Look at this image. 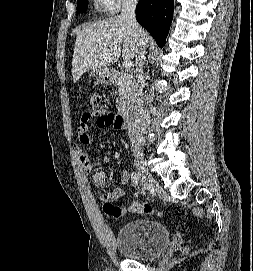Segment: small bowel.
<instances>
[{
	"label": "small bowel",
	"instance_id": "small-bowel-1",
	"mask_svg": "<svg viewBox=\"0 0 253 271\" xmlns=\"http://www.w3.org/2000/svg\"><path fill=\"white\" fill-rule=\"evenodd\" d=\"M110 113H102L97 118V126L99 128H109L114 127L120 129L119 126L115 123L113 119H109ZM94 117L93 113H84L80 117L79 124L77 127V136L80 142L84 144H99V142L92 138L89 135V124L90 120ZM100 145V144H99ZM76 152L78 159L84 168L85 171L91 172L93 170V163L90 160V157L79 147L76 146ZM103 161H107L106 158ZM92 181L97 187H104L106 185V173L104 171H95L91 175ZM130 179L129 173L127 171H123L121 175V186L112 190L111 192L105 193L101 195L100 200L104 203L103 209L105 213L112 218H120L125 216L128 213V209L126 207H117L112 203L118 200L124 194L123 186L128 183ZM107 205H111V207H107Z\"/></svg>",
	"mask_w": 253,
	"mask_h": 271
}]
</instances>
